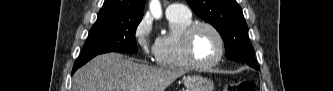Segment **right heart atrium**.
Returning a JSON list of instances; mask_svg holds the SVG:
<instances>
[{"label":"right heart atrium","mask_w":333,"mask_h":91,"mask_svg":"<svg viewBox=\"0 0 333 91\" xmlns=\"http://www.w3.org/2000/svg\"><path fill=\"white\" fill-rule=\"evenodd\" d=\"M151 32V20L146 16L138 21L133 30L135 43L146 58H152L155 54L156 41L152 40Z\"/></svg>","instance_id":"obj_1"}]
</instances>
